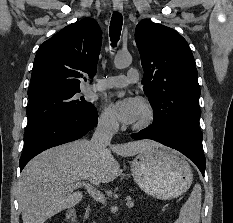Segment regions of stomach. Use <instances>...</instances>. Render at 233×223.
<instances>
[{
  "label": "stomach",
  "mask_w": 233,
  "mask_h": 223,
  "mask_svg": "<svg viewBox=\"0 0 233 223\" xmlns=\"http://www.w3.org/2000/svg\"><path fill=\"white\" fill-rule=\"evenodd\" d=\"M130 167L138 187L156 199H174L183 195L193 179L185 157L163 145H153L140 151Z\"/></svg>",
  "instance_id": "1"
}]
</instances>
